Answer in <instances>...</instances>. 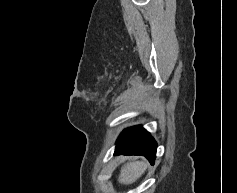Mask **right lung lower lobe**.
<instances>
[{
    "label": "right lung lower lobe",
    "mask_w": 237,
    "mask_h": 193,
    "mask_svg": "<svg viewBox=\"0 0 237 193\" xmlns=\"http://www.w3.org/2000/svg\"><path fill=\"white\" fill-rule=\"evenodd\" d=\"M157 144L141 126L125 129L117 140L115 155H142L154 163Z\"/></svg>",
    "instance_id": "obj_1"
}]
</instances>
